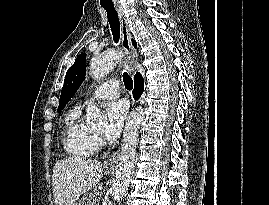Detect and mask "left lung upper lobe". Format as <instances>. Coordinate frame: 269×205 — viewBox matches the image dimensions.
Masks as SVG:
<instances>
[{
  "label": "left lung upper lobe",
  "instance_id": "5c2ea615",
  "mask_svg": "<svg viewBox=\"0 0 269 205\" xmlns=\"http://www.w3.org/2000/svg\"><path fill=\"white\" fill-rule=\"evenodd\" d=\"M85 60V54L81 53L76 58L74 64L68 69L60 96V103L57 110L58 112H61L85 79Z\"/></svg>",
  "mask_w": 269,
  "mask_h": 205
}]
</instances>
